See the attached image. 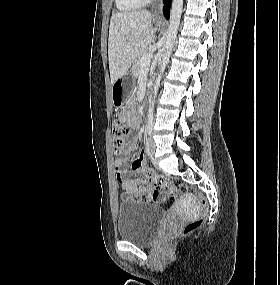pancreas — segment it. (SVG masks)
<instances>
[{
	"instance_id": "pancreas-1",
	"label": "pancreas",
	"mask_w": 280,
	"mask_h": 285,
	"mask_svg": "<svg viewBox=\"0 0 280 285\" xmlns=\"http://www.w3.org/2000/svg\"><path fill=\"white\" fill-rule=\"evenodd\" d=\"M150 51L146 48L140 55L137 57V59L134 61L132 66V73L135 77L139 76V73L141 71V64H140V58L145 55H149Z\"/></svg>"
}]
</instances>
